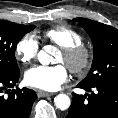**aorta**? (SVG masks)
Wrapping results in <instances>:
<instances>
[{"label":"aorta","instance_id":"762f6f07","mask_svg":"<svg viewBox=\"0 0 118 118\" xmlns=\"http://www.w3.org/2000/svg\"><path fill=\"white\" fill-rule=\"evenodd\" d=\"M54 52V47L47 45L43 48V50H41L38 54V59L39 62L42 65H48L52 62V56L51 53ZM54 104L56 106V108L60 109V110H67L70 105H71V100L69 98L68 95L66 94H58L55 98H54Z\"/></svg>","mask_w":118,"mask_h":118}]
</instances>
